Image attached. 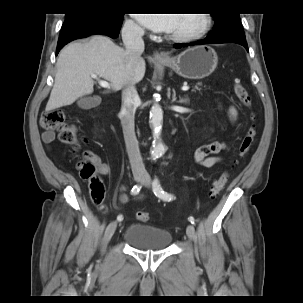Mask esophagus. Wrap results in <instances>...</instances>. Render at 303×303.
<instances>
[{"label":"esophagus","mask_w":303,"mask_h":303,"mask_svg":"<svg viewBox=\"0 0 303 303\" xmlns=\"http://www.w3.org/2000/svg\"><path fill=\"white\" fill-rule=\"evenodd\" d=\"M154 59L155 60H168L169 57L166 55H163L162 53H160L159 51H155L154 52Z\"/></svg>","instance_id":"34e87169"}]
</instances>
